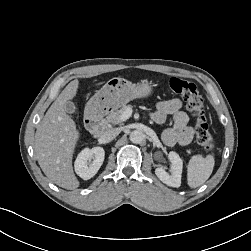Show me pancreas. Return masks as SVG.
<instances>
[{"label":"pancreas","instance_id":"pancreas-1","mask_svg":"<svg viewBox=\"0 0 251 251\" xmlns=\"http://www.w3.org/2000/svg\"><path fill=\"white\" fill-rule=\"evenodd\" d=\"M130 108V105H122L120 109H115L114 111L110 112L108 116H106V122L114 125L121 123V115L125 110Z\"/></svg>","mask_w":251,"mask_h":251}]
</instances>
